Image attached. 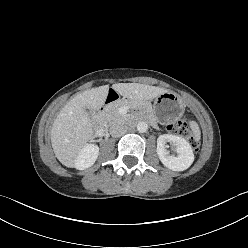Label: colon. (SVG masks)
<instances>
[{
	"mask_svg": "<svg viewBox=\"0 0 248 248\" xmlns=\"http://www.w3.org/2000/svg\"><path fill=\"white\" fill-rule=\"evenodd\" d=\"M168 130L173 134L180 135V136L187 138L188 141L190 142L192 148L195 151H197L199 149V142H198L197 138L190 131L189 125L184 118L179 119V120L171 123L168 126Z\"/></svg>",
	"mask_w": 248,
	"mask_h": 248,
	"instance_id": "colon-1",
	"label": "colon"
}]
</instances>
